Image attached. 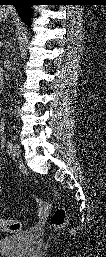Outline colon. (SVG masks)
Listing matches in <instances>:
<instances>
[{
	"mask_svg": "<svg viewBox=\"0 0 106 257\" xmlns=\"http://www.w3.org/2000/svg\"><path fill=\"white\" fill-rule=\"evenodd\" d=\"M67 221V213L64 208H57L50 217V223L55 230L65 227ZM24 223L19 220L1 219L0 229L8 233H16L23 229Z\"/></svg>",
	"mask_w": 106,
	"mask_h": 257,
	"instance_id": "5ec220e1",
	"label": "colon"
}]
</instances>
